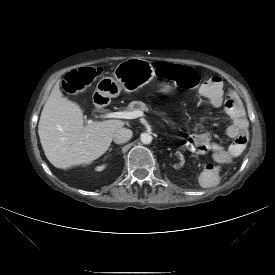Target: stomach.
<instances>
[{
  "instance_id": "stomach-1",
  "label": "stomach",
  "mask_w": 275,
  "mask_h": 275,
  "mask_svg": "<svg viewBox=\"0 0 275 275\" xmlns=\"http://www.w3.org/2000/svg\"><path fill=\"white\" fill-rule=\"evenodd\" d=\"M154 78V68L147 60L130 58L119 63L113 72V77H103L97 84L96 91L116 97L124 89L133 92L148 84ZM164 93L170 91L165 85L161 90Z\"/></svg>"
}]
</instances>
